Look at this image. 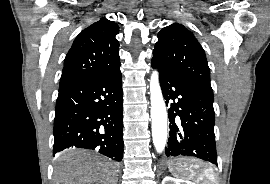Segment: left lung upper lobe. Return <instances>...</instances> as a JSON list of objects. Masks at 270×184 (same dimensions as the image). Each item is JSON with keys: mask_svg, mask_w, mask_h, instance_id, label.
<instances>
[{"mask_svg": "<svg viewBox=\"0 0 270 184\" xmlns=\"http://www.w3.org/2000/svg\"><path fill=\"white\" fill-rule=\"evenodd\" d=\"M153 58L179 69L213 94L205 52L192 32L182 24L174 23L158 33Z\"/></svg>", "mask_w": 270, "mask_h": 184, "instance_id": "left-lung-upper-lobe-1", "label": "left lung upper lobe"}]
</instances>
